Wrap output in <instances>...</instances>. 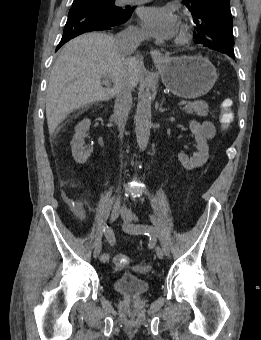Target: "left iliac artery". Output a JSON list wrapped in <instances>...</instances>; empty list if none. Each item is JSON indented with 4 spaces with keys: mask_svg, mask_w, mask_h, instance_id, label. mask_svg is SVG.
<instances>
[{
    "mask_svg": "<svg viewBox=\"0 0 261 340\" xmlns=\"http://www.w3.org/2000/svg\"><path fill=\"white\" fill-rule=\"evenodd\" d=\"M130 228L132 230L141 231L148 236L157 237L165 255L166 256L170 255V249L168 247V244L154 227L150 225H145V224H138V225L131 224Z\"/></svg>",
    "mask_w": 261,
    "mask_h": 340,
    "instance_id": "left-iliac-artery-1",
    "label": "left iliac artery"
}]
</instances>
